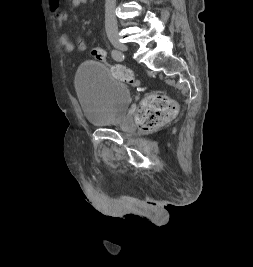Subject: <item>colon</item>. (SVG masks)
<instances>
[{
	"mask_svg": "<svg viewBox=\"0 0 253 267\" xmlns=\"http://www.w3.org/2000/svg\"><path fill=\"white\" fill-rule=\"evenodd\" d=\"M75 48L79 52H86L89 45L80 37H75ZM92 57L99 63H106V54L103 49L94 47L91 50ZM113 75L122 82L137 85L133 71L123 65H111ZM176 113V105L168 98L156 94L149 95L143 101L136 119L144 130H153L169 120Z\"/></svg>",
	"mask_w": 253,
	"mask_h": 267,
	"instance_id": "obj_1",
	"label": "colon"
}]
</instances>
